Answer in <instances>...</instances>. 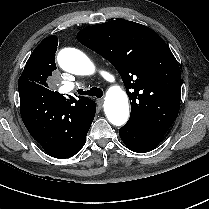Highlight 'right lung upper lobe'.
Returning a JSON list of instances; mask_svg holds the SVG:
<instances>
[{
    "instance_id": "cb5924a9",
    "label": "right lung upper lobe",
    "mask_w": 209,
    "mask_h": 209,
    "mask_svg": "<svg viewBox=\"0 0 209 209\" xmlns=\"http://www.w3.org/2000/svg\"><path fill=\"white\" fill-rule=\"evenodd\" d=\"M57 45V37L51 35L45 38L34 49V52L42 48L57 50ZM52 98L63 107L61 114L53 121V125L69 129L74 139H79L86 135L95 116V102L87 97H81L79 99L70 97V99H66L57 91L53 93Z\"/></svg>"
}]
</instances>
